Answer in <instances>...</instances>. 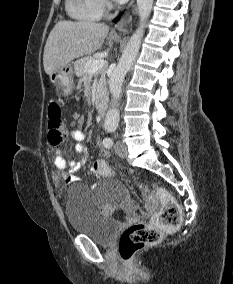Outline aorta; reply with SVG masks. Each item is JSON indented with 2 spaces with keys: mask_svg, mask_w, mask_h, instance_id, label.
Masks as SVG:
<instances>
[{
  "mask_svg": "<svg viewBox=\"0 0 233 284\" xmlns=\"http://www.w3.org/2000/svg\"><path fill=\"white\" fill-rule=\"evenodd\" d=\"M137 6L140 17V26L129 39L118 65L109 79V89L115 101V106H113L106 114L104 125L108 130L116 129L119 124L120 111L117 107V102L122 94V83L125 75L132 67L140 49L141 40L146 27V21L152 10L153 0H137Z\"/></svg>",
  "mask_w": 233,
  "mask_h": 284,
  "instance_id": "1",
  "label": "aorta"
}]
</instances>
